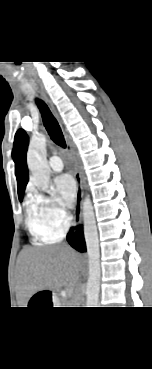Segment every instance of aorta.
<instances>
[{
	"mask_svg": "<svg viewBox=\"0 0 152 369\" xmlns=\"http://www.w3.org/2000/svg\"><path fill=\"white\" fill-rule=\"evenodd\" d=\"M27 163L36 186L42 191L50 193V168L46 159V137L44 135L31 138L27 152ZM83 229L89 265L86 307H97L101 276L100 249L94 208L89 195L83 201Z\"/></svg>",
	"mask_w": 152,
	"mask_h": 369,
	"instance_id": "obj_1",
	"label": "aorta"
}]
</instances>
